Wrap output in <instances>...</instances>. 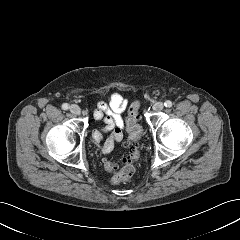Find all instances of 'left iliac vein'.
Instances as JSON below:
<instances>
[{"label": "left iliac vein", "mask_w": 240, "mask_h": 240, "mask_svg": "<svg viewBox=\"0 0 240 240\" xmlns=\"http://www.w3.org/2000/svg\"><path fill=\"white\" fill-rule=\"evenodd\" d=\"M164 108V104L162 102H156L154 105H153V109L155 111H161L162 109Z\"/></svg>", "instance_id": "left-iliac-vein-1"}]
</instances>
